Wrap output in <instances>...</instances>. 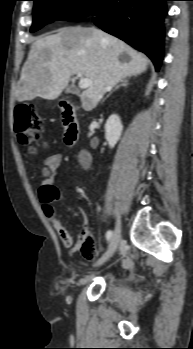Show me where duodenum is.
I'll list each match as a JSON object with an SVG mask.
<instances>
[{"instance_id": "410a0bca", "label": "duodenum", "mask_w": 193, "mask_h": 349, "mask_svg": "<svg viewBox=\"0 0 193 349\" xmlns=\"http://www.w3.org/2000/svg\"><path fill=\"white\" fill-rule=\"evenodd\" d=\"M60 108L65 127L64 141L67 145H74L79 139L80 124L75 106L67 101L60 102Z\"/></svg>"}]
</instances>
